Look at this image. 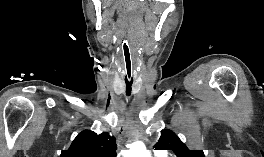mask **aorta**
I'll return each mask as SVG.
<instances>
[{"mask_svg": "<svg viewBox=\"0 0 264 157\" xmlns=\"http://www.w3.org/2000/svg\"><path fill=\"white\" fill-rule=\"evenodd\" d=\"M125 157H150V153L142 142H135L125 153Z\"/></svg>", "mask_w": 264, "mask_h": 157, "instance_id": "1", "label": "aorta"}]
</instances>
